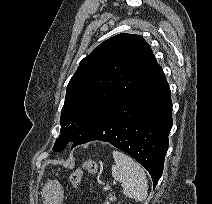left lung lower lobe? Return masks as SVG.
<instances>
[{
  "label": "left lung lower lobe",
  "mask_w": 212,
  "mask_h": 204,
  "mask_svg": "<svg viewBox=\"0 0 212 204\" xmlns=\"http://www.w3.org/2000/svg\"><path fill=\"white\" fill-rule=\"evenodd\" d=\"M170 89L161 67L107 111L75 143H111L131 155L159 181L172 127ZM74 146V147H75Z\"/></svg>",
  "instance_id": "left-lung-lower-lobe-1"
}]
</instances>
